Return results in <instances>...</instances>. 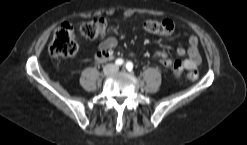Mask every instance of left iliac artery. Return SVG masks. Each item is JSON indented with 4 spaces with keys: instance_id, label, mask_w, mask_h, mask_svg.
I'll use <instances>...</instances> for the list:
<instances>
[{
    "instance_id": "left-iliac-artery-1",
    "label": "left iliac artery",
    "mask_w": 247,
    "mask_h": 145,
    "mask_svg": "<svg viewBox=\"0 0 247 145\" xmlns=\"http://www.w3.org/2000/svg\"><path fill=\"white\" fill-rule=\"evenodd\" d=\"M126 69L128 70V71H131L132 69H133V63L132 62H127L126 63Z\"/></svg>"
}]
</instances>
